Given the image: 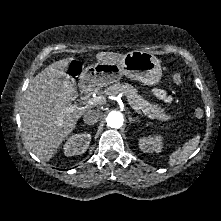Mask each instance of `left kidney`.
<instances>
[{
  "label": "left kidney",
  "instance_id": "obj_1",
  "mask_svg": "<svg viewBox=\"0 0 221 221\" xmlns=\"http://www.w3.org/2000/svg\"><path fill=\"white\" fill-rule=\"evenodd\" d=\"M139 148L143 152H161L162 149V137L157 136H148L139 139Z\"/></svg>",
  "mask_w": 221,
  "mask_h": 221
}]
</instances>
